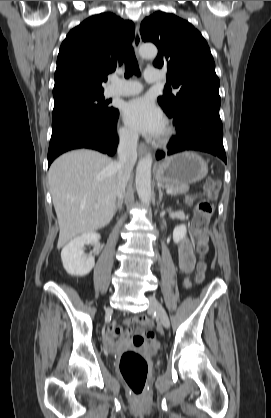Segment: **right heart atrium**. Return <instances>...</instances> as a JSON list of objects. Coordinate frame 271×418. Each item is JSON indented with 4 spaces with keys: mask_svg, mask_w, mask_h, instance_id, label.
<instances>
[{
    "mask_svg": "<svg viewBox=\"0 0 271 418\" xmlns=\"http://www.w3.org/2000/svg\"><path fill=\"white\" fill-rule=\"evenodd\" d=\"M118 133L120 142L125 148L132 149L135 147L137 138L131 130H129L127 127L122 126L119 128Z\"/></svg>",
    "mask_w": 271,
    "mask_h": 418,
    "instance_id": "d8ad5b80",
    "label": "right heart atrium"
}]
</instances>
